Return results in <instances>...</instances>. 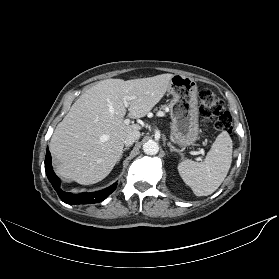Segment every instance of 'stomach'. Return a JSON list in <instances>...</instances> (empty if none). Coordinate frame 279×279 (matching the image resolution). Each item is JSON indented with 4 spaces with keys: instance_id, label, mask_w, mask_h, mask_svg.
I'll list each match as a JSON object with an SVG mask.
<instances>
[{
    "instance_id": "1",
    "label": "stomach",
    "mask_w": 279,
    "mask_h": 279,
    "mask_svg": "<svg viewBox=\"0 0 279 279\" xmlns=\"http://www.w3.org/2000/svg\"><path fill=\"white\" fill-rule=\"evenodd\" d=\"M170 102L171 134L179 146L192 145L198 138V87L193 78L173 75L168 86Z\"/></svg>"
}]
</instances>
